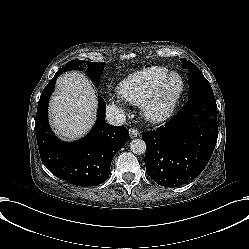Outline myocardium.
<instances>
[{"instance_id":"myocardium-1","label":"myocardium","mask_w":249,"mask_h":249,"mask_svg":"<svg viewBox=\"0 0 249 249\" xmlns=\"http://www.w3.org/2000/svg\"><path fill=\"white\" fill-rule=\"evenodd\" d=\"M177 80L176 87L166 92V87L171 78ZM184 83L180 74L168 73L154 93L140 106L143 119L149 123H161L166 121L174 112V109L183 93Z\"/></svg>"}]
</instances>
